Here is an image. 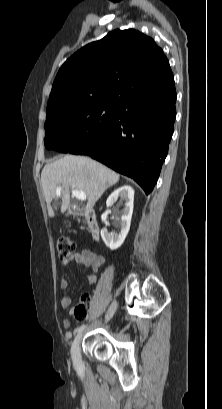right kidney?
<instances>
[{
  "mask_svg": "<svg viewBox=\"0 0 222 409\" xmlns=\"http://www.w3.org/2000/svg\"><path fill=\"white\" fill-rule=\"evenodd\" d=\"M120 198L121 201L125 202L124 208L120 211L121 218L118 220V226L120 227V232H109L106 228L101 230V237L107 247L111 250H116L119 248L130 229L131 218L133 213V203H134V190L131 186L124 185L116 189L108 197L106 201L107 207H111ZM109 211L104 212L101 215L103 222H106L107 215Z\"/></svg>",
  "mask_w": 222,
  "mask_h": 409,
  "instance_id": "ca27d5eb",
  "label": "right kidney"
}]
</instances>
